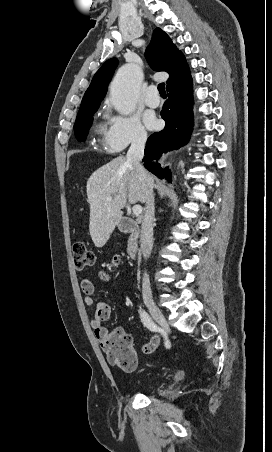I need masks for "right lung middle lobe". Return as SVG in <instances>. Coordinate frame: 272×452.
Here are the masks:
<instances>
[{
	"instance_id": "right-lung-middle-lobe-1",
	"label": "right lung middle lobe",
	"mask_w": 272,
	"mask_h": 452,
	"mask_svg": "<svg viewBox=\"0 0 272 452\" xmlns=\"http://www.w3.org/2000/svg\"><path fill=\"white\" fill-rule=\"evenodd\" d=\"M98 107L99 105H92L80 108L74 125V131L78 141L86 140L88 130L93 121L92 116Z\"/></svg>"
}]
</instances>
